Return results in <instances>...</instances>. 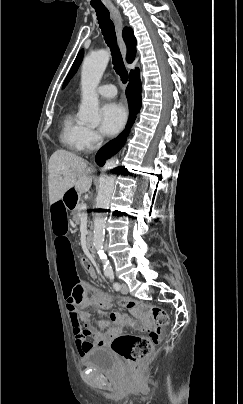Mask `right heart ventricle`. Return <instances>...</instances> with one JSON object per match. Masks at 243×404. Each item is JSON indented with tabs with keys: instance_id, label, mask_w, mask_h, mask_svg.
I'll return each instance as SVG.
<instances>
[{
	"instance_id": "right-heart-ventricle-1",
	"label": "right heart ventricle",
	"mask_w": 243,
	"mask_h": 404,
	"mask_svg": "<svg viewBox=\"0 0 243 404\" xmlns=\"http://www.w3.org/2000/svg\"><path fill=\"white\" fill-rule=\"evenodd\" d=\"M84 128V125L74 116L73 111L64 113L59 132L62 147L70 152H81V136Z\"/></svg>"
}]
</instances>
